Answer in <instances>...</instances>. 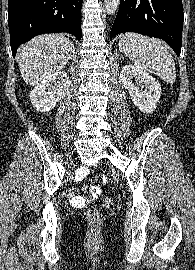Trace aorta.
Returning <instances> with one entry per match:
<instances>
[{
    "mask_svg": "<svg viewBox=\"0 0 195 270\" xmlns=\"http://www.w3.org/2000/svg\"><path fill=\"white\" fill-rule=\"evenodd\" d=\"M120 4V0H104L105 10L107 14H114Z\"/></svg>",
    "mask_w": 195,
    "mask_h": 270,
    "instance_id": "762f6f07",
    "label": "aorta"
}]
</instances>
